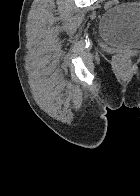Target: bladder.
<instances>
[{
    "label": "bladder",
    "instance_id": "1",
    "mask_svg": "<svg viewBox=\"0 0 140 196\" xmlns=\"http://www.w3.org/2000/svg\"><path fill=\"white\" fill-rule=\"evenodd\" d=\"M100 34L110 45L140 48V3H121L106 10L100 21Z\"/></svg>",
    "mask_w": 140,
    "mask_h": 196
}]
</instances>
